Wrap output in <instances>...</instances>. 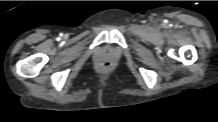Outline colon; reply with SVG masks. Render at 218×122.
<instances>
[{
	"mask_svg": "<svg viewBox=\"0 0 218 122\" xmlns=\"http://www.w3.org/2000/svg\"><path fill=\"white\" fill-rule=\"evenodd\" d=\"M109 66H110V63H109V62L103 63V67H104V68H108Z\"/></svg>",
	"mask_w": 218,
	"mask_h": 122,
	"instance_id": "5ec220e1",
	"label": "colon"
}]
</instances>
